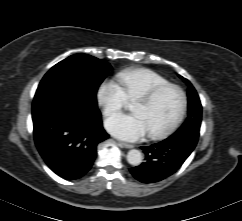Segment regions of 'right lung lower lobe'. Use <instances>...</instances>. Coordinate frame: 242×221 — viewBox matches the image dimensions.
<instances>
[{
  "label": "right lung lower lobe",
  "mask_w": 242,
  "mask_h": 221,
  "mask_svg": "<svg viewBox=\"0 0 242 221\" xmlns=\"http://www.w3.org/2000/svg\"><path fill=\"white\" fill-rule=\"evenodd\" d=\"M34 139L40 155L60 177L74 180L92 167L97 145L109 135L100 111L80 112L67 105H45L32 112Z\"/></svg>",
  "instance_id": "98d812e1"
}]
</instances>
